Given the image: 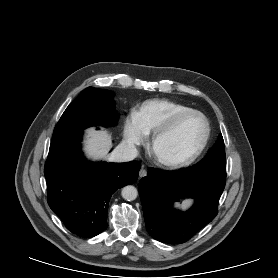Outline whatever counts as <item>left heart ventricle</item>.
Segmentation results:
<instances>
[{
  "mask_svg": "<svg viewBox=\"0 0 278 278\" xmlns=\"http://www.w3.org/2000/svg\"><path fill=\"white\" fill-rule=\"evenodd\" d=\"M205 134V123L200 116L192 115L163 138L157 145V152L165 158L177 159L190 155L199 146Z\"/></svg>",
  "mask_w": 278,
  "mask_h": 278,
  "instance_id": "b2bd125f",
  "label": "left heart ventricle"
}]
</instances>
